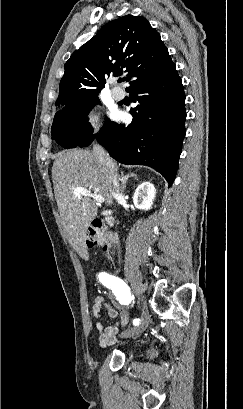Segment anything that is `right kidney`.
I'll return each mask as SVG.
<instances>
[{
  "label": "right kidney",
  "mask_w": 243,
  "mask_h": 409,
  "mask_svg": "<svg viewBox=\"0 0 243 409\" xmlns=\"http://www.w3.org/2000/svg\"><path fill=\"white\" fill-rule=\"evenodd\" d=\"M156 196V189L150 182L140 184L133 195V203L136 208L141 210H149Z\"/></svg>",
  "instance_id": "ca27d5eb"
}]
</instances>
